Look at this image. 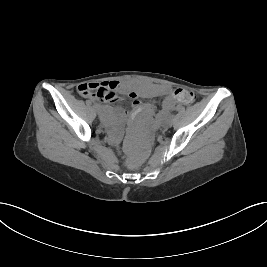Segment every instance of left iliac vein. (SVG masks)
<instances>
[{
  "label": "left iliac vein",
  "mask_w": 267,
  "mask_h": 267,
  "mask_svg": "<svg viewBox=\"0 0 267 267\" xmlns=\"http://www.w3.org/2000/svg\"><path fill=\"white\" fill-rule=\"evenodd\" d=\"M170 125H171L170 121H165V122H164V126H165V127H169Z\"/></svg>",
  "instance_id": "obj_1"
}]
</instances>
